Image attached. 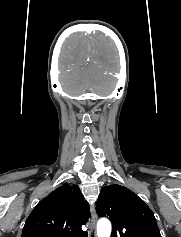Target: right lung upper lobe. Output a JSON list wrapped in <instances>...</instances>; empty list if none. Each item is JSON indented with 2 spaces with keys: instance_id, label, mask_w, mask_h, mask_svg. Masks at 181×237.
Returning <instances> with one entry per match:
<instances>
[{
  "instance_id": "1",
  "label": "right lung upper lobe",
  "mask_w": 181,
  "mask_h": 237,
  "mask_svg": "<svg viewBox=\"0 0 181 237\" xmlns=\"http://www.w3.org/2000/svg\"><path fill=\"white\" fill-rule=\"evenodd\" d=\"M89 204L77 185L63 184L30 213L21 237H87Z\"/></svg>"
}]
</instances>
